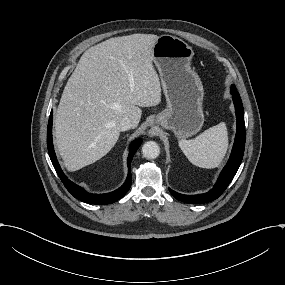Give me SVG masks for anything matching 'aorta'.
Segmentation results:
<instances>
[{
	"label": "aorta",
	"instance_id": "aorta-1",
	"mask_svg": "<svg viewBox=\"0 0 285 285\" xmlns=\"http://www.w3.org/2000/svg\"><path fill=\"white\" fill-rule=\"evenodd\" d=\"M142 154L146 159H155L160 154V148L156 142L148 141L142 147Z\"/></svg>",
	"mask_w": 285,
	"mask_h": 285
}]
</instances>
